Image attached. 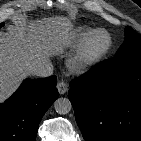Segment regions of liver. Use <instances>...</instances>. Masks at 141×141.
I'll return each mask as SVG.
<instances>
[{"instance_id": "6515ba94", "label": "liver", "mask_w": 141, "mask_h": 141, "mask_svg": "<svg viewBox=\"0 0 141 141\" xmlns=\"http://www.w3.org/2000/svg\"><path fill=\"white\" fill-rule=\"evenodd\" d=\"M73 37V24L64 16L20 18L7 33H0V103L33 75L36 65L63 53Z\"/></svg>"}]
</instances>
